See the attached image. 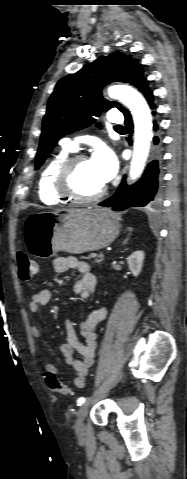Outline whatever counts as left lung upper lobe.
Here are the masks:
<instances>
[{
	"label": "left lung upper lobe",
	"mask_w": 187,
	"mask_h": 479,
	"mask_svg": "<svg viewBox=\"0 0 187 479\" xmlns=\"http://www.w3.org/2000/svg\"><path fill=\"white\" fill-rule=\"evenodd\" d=\"M144 79L142 65L122 52L99 57L77 73L62 78L48 102L35 169L43 164L61 137L95 122L92 116L112 107L125 110L117 102L102 98L104 86L121 81L138 88Z\"/></svg>",
	"instance_id": "1"
}]
</instances>
